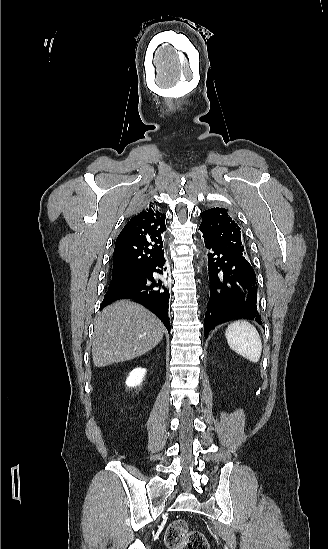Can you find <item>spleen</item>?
<instances>
[{
    "label": "spleen",
    "mask_w": 328,
    "mask_h": 549,
    "mask_svg": "<svg viewBox=\"0 0 328 549\" xmlns=\"http://www.w3.org/2000/svg\"><path fill=\"white\" fill-rule=\"evenodd\" d=\"M227 343L235 353L251 363H258L262 353L260 335L247 321H234L225 331Z\"/></svg>",
    "instance_id": "1"
}]
</instances>
